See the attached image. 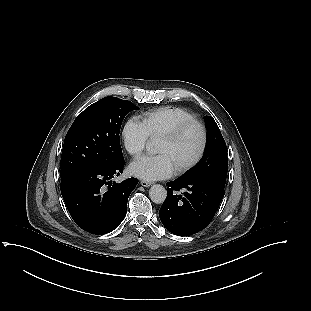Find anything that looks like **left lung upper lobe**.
<instances>
[{
  "label": "left lung upper lobe",
  "mask_w": 311,
  "mask_h": 311,
  "mask_svg": "<svg viewBox=\"0 0 311 311\" xmlns=\"http://www.w3.org/2000/svg\"><path fill=\"white\" fill-rule=\"evenodd\" d=\"M207 141L201 161L183 179H207L225 186L228 171L227 149L222 134L210 116H205Z\"/></svg>",
  "instance_id": "obj_1"
}]
</instances>
